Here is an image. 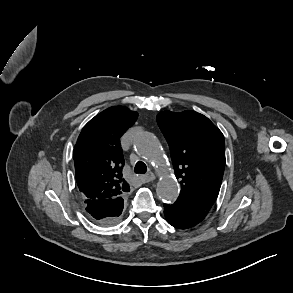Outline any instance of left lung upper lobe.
<instances>
[{
    "instance_id": "1",
    "label": "left lung upper lobe",
    "mask_w": 293,
    "mask_h": 293,
    "mask_svg": "<svg viewBox=\"0 0 293 293\" xmlns=\"http://www.w3.org/2000/svg\"><path fill=\"white\" fill-rule=\"evenodd\" d=\"M171 152L179 200L208 212L219 194L225 167L222 132L195 111H163L157 116Z\"/></svg>"
}]
</instances>
